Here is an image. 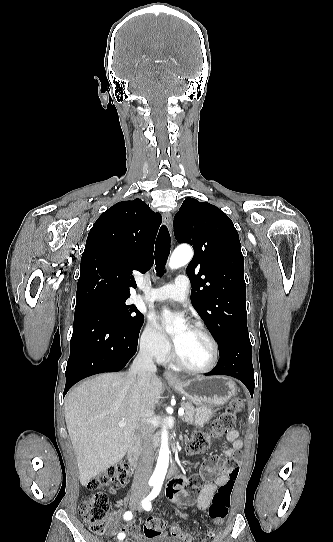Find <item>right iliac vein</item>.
I'll return each instance as SVG.
<instances>
[{"label":"right iliac vein","mask_w":333,"mask_h":542,"mask_svg":"<svg viewBox=\"0 0 333 542\" xmlns=\"http://www.w3.org/2000/svg\"><path fill=\"white\" fill-rule=\"evenodd\" d=\"M142 496L144 497V495L141 494L139 496V499H142ZM130 505H131V507H135L137 505V502H132Z\"/></svg>","instance_id":"1"}]
</instances>
